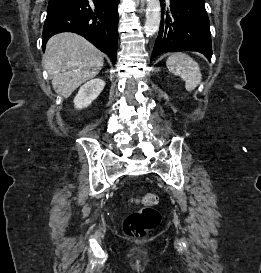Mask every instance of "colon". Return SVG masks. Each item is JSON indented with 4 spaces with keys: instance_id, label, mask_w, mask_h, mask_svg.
Listing matches in <instances>:
<instances>
[{
    "instance_id": "5ec220e1",
    "label": "colon",
    "mask_w": 261,
    "mask_h": 273,
    "mask_svg": "<svg viewBox=\"0 0 261 273\" xmlns=\"http://www.w3.org/2000/svg\"><path fill=\"white\" fill-rule=\"evenodd\" d=\"M129 202H141L144 208L129 215L124 221V232L129 237H140L155 228L161 219L160 213L153 208L158 202L156 194H146L140 199L130 198Z\"/></svg>"
}]
</instances>
